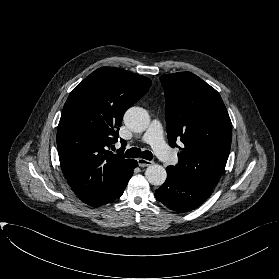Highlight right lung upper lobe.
I'll return each instance as SVG.
<instances>
[{"mask_svg":"<svg viewBox=\"0 0 279 279\" xmlns=\"http://www.w3.org/2000/svg\"><path fill=\"white\" fill-rule=\"evenodd\" d=\"M151 80L113 67L92 72L70 93L57 131L62 171L88 204L114 189L134 163L108 151L119 137L125 111L150 88Z\"/></svg>","mask_w":279,"mask_h":279,"instance_id":"obj_1","label":"right lung upper lobe"}]
</instances>
